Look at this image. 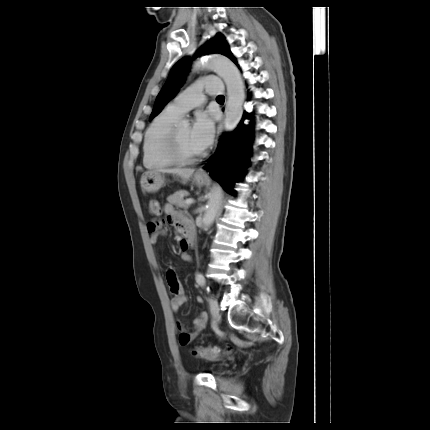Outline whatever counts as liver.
I'll list each match as a JSON object with an SVG mask.
<instances>
[{
  "label": "liver",
  "instance_id": "liver-1",
  "mask_svg": "<svg viewBox=\"0 0 430 430\" xmlns=\"http://www.w3.org/2000/svg\"><path fill=\"white\" fill-rule=\"evenodd\" d=\"M194 171H195L194 169H190V168H176V169H160V170H155L154 172L177 175L181 177L184 181H187L190 179Z\"/></svg>",
  "mask_w": 430,
  "mask_h": 430
}]
</instances>
